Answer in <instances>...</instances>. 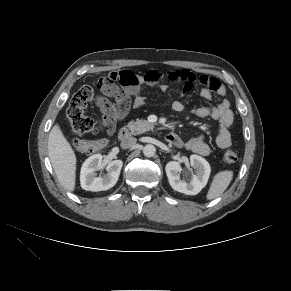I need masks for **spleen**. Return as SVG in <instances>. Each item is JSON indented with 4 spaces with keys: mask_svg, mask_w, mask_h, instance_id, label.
I'll list each match as a JSON object with an SVG mask.
<instances>
[{
    "mask_svg": "<svg viewBox=\"0 0 291 291\" xmlns=\"http://www.w3.org/2000/svg\"><path fill=\"white\" fill-rule=\"evenodd\" d=\"M232 178V171L225 170L218 172L213 178L206 198L212 200L219 197L228 188Z\"/></svg>",
    "mask_w": 291,
    "mask_h": 291,
    "instance_id": "1",
    "label": "spleen"
}]
</instances>
